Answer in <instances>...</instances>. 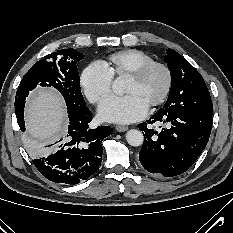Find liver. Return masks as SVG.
Listing matches in <instances>:
<instances>
[{
    "mask_svg": "<svg viewBox=\"0 0 233 233\" xmlns=\"http://www.w3.org/2000/svg\"><path fill=\"white\" fill-rule=\"evenodd\" d=\"M65 107L62 98L54 91L40 89L29 100L26 107V124L30 136L35 140L38 157L45 153L41 147L58 139L66 132Z\"/></svg>",
    "mask_w": 233,
    "mask_h": 233,
    "instance_id": "liver-1",
    "label": "liver"
}]
</instances>
